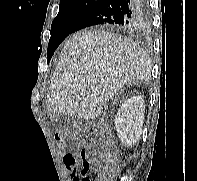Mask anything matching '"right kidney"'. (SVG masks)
I'll use <instances>...</instances> for the list:
<instances>
[{
	"instance_id": "1",
	"label": "right kidney",
	"mask_w": 197,
	"mask_h": 181,
	"mask_svg": "<svg viewBox=\"0 0 197 181\" xmlns=\"http://www.w3.org/2000/svg\"><path fill=\"white\" fill-rule=\"evenodd\" d=\"M144 110V100L141 96H133L120 106L115 117V127L123 144L131 146L139 140L144 121Z\"/></svg>"
}]
</instances>
